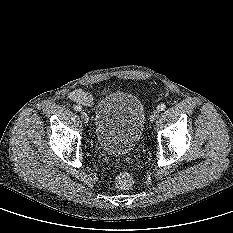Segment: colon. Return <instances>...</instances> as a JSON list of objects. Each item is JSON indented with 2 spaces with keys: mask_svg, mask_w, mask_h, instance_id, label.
Masks as SVG:
<instances>
[{
  "mask_svg": "<svg viewBox=\"0 0 233 233\" xmlns=\"http://www.w3.org/2000/svg\"><path fill=\"white\" fill-rule=\"evenodd\" d=\"M161 95L164 94V92H160ZM115 185L119 189H128L133 184V178L132 176L127 172H121L115 176Z\"/></svg>",
  "mask_w": 233,
  "mask_h": 233,
  "instance_id": "obj_1",
  "label": "colon"
}]
</instances>
